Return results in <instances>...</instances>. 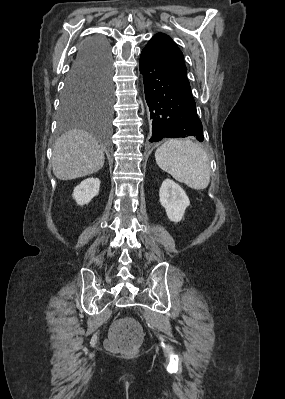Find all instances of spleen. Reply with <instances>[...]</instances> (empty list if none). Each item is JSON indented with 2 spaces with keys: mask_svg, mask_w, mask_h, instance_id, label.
<instances>
[{
  "mask_svg": "<svg viewBox=\"0 0 285 399\" xmlns=\"http://www.w3.org/2000/svg\"><path fill=\"white\" fill-rule=\"evenodd\" d=\"M157 165L192 189L203 190L210 182L206 151L188 139H169L155 152Z\"/></svg>",
  "mask_w": 285,
  "mask_h": 399,
  "instance_id": "1",
  "label": "spleen"
}]
</instances>
